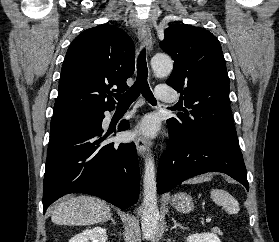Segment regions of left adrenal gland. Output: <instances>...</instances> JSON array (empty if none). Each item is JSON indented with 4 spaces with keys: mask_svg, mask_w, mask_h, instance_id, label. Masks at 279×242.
I'll return each mask as SVG.
<instances>
[{
    "mask_svg": "<svg viewBox=\"0 0 279 242\" xmlns=\"http://www.w3.org/2000/svg\"><path fill=\"white\" fill-rule=\"evenodd\" d=\"M172 221H173V223H174V225L171 227V230L172 229H175V228H177V227H179V228H181V229H186L184 226H182L180 223H177V221L174 219V218H172Z\"/></svg>",
    "mask_w": 279,
    "mask_h": 242,
    "instance_id": "left-adrenal-gland-1",
    "label": "left adrenal gland"
}]
</instances>
